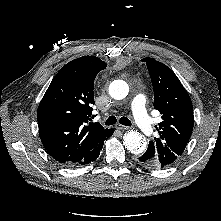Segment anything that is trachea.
I'll list each match as a JSON object with an SVG mask.
<instances>
[{
	"mask_svg": "<svg viewBox=\"0 0 221 221\" xmlns=\"http://www.w3.org/2000/svg\"><path fill=\"white\" fill-rule=\"evenodd\" d=\"M117 122V119L115 116H110L106 121L105 125L110 126L114 125ZM119 123L125 126H131V121L127 117H121L119 119Z\"/></svg>",
	"mask_w": 221,
	"mask_h": 221,
	"instance_id": "trachea-1",
	"label": "trachea"
}]
</instances>
